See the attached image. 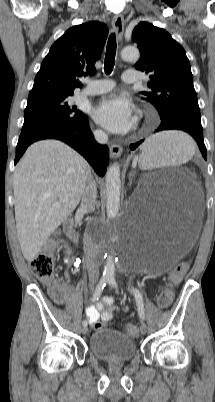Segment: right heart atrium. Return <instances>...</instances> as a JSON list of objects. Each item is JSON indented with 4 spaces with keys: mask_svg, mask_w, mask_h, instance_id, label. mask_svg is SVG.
Returning a JSON list of instances; mask_svg holds the SVG:
<instances>
[{
    "mask_svg": "<svg viewBox=\"0 0 215 402\" xmlns=\"http://www.w3.org/2000/svg\"><path fill=\"white\" fill-rule=\"evenodd\" d=\"M95 134L100 139L104 138V136H105L104 132L101 130H96Z\"/></svg>",
    "mask_w": 215,
    "mask_h": 402,
    "instance_id": "right-heart-atrium-1",
    "label": "right heart atrium"
}]
</instances>
